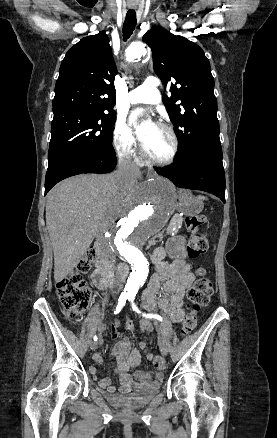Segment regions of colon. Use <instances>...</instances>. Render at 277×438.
Segmentation results:
<instances>
[{
  "label": "colon",
  "mask_w": 277,
  "mask_h": 438,
  "mask_svg": "<svg viewBox=\"0 0 277 438\" xmlns=\"http://www.w3.org/2000/svg\"><path fill=\"white\" fill-rule=\"evenodd\" d=\"M206 224L205 216H191L185 219L184 225L187 231L192 233L187 244V255L190 258H199L206 253L208 248L207 236L200 228ZM86 258L78 264V271L86 273L89 271L91 261H96L99 255L98 248H88L85 251ZM197 277L188 289V300L191 312L184 318L180 332L183 336L191 333L196 325L197 313L202 306L209 303L213 293V285L206 271L200 268L196 272ZM56 293L61 305L69 318L77 322L85 312L90 300V289L85 280L76 273H71L60 279L56 285ZM157 368H162L163 358L158 356L154 359Z\"/></svg>",
  "instance_id": "obj_1"
}]
</instances>
